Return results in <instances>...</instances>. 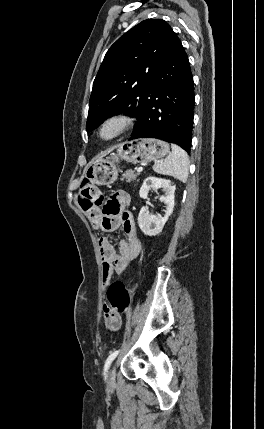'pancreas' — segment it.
I'll use <instances>...</instances> for the list:
<instances>
[{
  "instance_id": "cf45deb5",
  "label": "pancreas",
  "mask_w": 264,
  "mask_h": 429,
  "mask_svg": "<svg viewBox=\"0 0 264 429\" xmlns=\"http://www.w3.org/2000/svg\"><path fill=\"white\" fill-rule=\"evenodd\" d=\"M138 173H135L133 170H127L123 175L121 180H126V182H132L136 180Z\"/></svg>"
}]
</instances>
